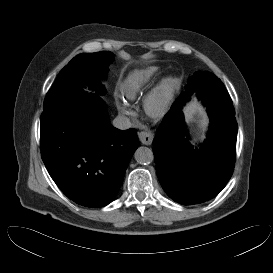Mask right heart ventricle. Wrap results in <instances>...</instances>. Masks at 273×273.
Segmentation results:
<instances>
[{
    "label": "right heart ventricle",
    "mask_w": 273,
    "mask_h": 273,
    "mask_svg": "<svg viewBox=\"0 0 273 273\" xmlns=\"http://www.w3.org/2000/svg\"><path fill=\"white\" fill-rule=\"evenodd\" d=\"M156 68L148 67L133 72L122 86V93L128 99H135L142 89H144L154 78Z\"/></svg>",
    "instance_id": "e07e8e85"
}]
</instances>
